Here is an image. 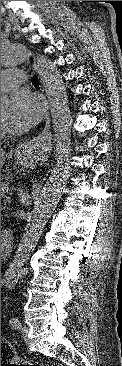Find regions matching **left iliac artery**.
I'll return each mask as SVG.
<instances>
[{
  "label": "left iliac artery",
  "mask_w": 122,
  "mask_h": 366,
  "mask_svg": "<svg viewBox=\"0 0 122 366\" xmlns=\"http://www.w3.org/2000/svg\"><path fill=\"white\" fill-rule=\"evenodd\" d=\"M9 324H10V326H12L13 328H19V327L21 326V323H20V321H19V319H18V318H11V319L9 320Z\"/></svg>",
  "instance_id": "1"
}]
</instances>
